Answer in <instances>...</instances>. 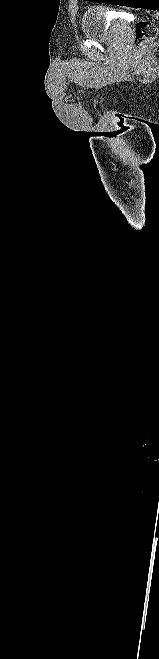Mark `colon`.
Here are the masks:
<instances>
[{
	"instance_id": "colon-1",
	"label": "colon",
	"mask_w": 159,
	"mask_h": 659,
	"mask_svg": "<svg viewBox=\"0 0 159 659\" xmlns=\"http://www.w3.org/2000/svg\"><path fill=\"white\" fill-rule=\"evenodd\" d=\"M158 28L153 21L141 20L137 23L132 41L133 49L141 50L158 35Z\"/></svg>"
}]
</instances>
